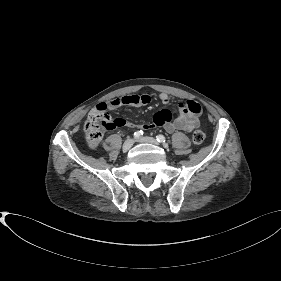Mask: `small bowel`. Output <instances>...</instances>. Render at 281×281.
Masks as SVG:
<instances>
[{"label":"small bowel","mask_w":281,"mask_h":281,"mask_svg":"<svg viewBox=\"0 0 281 281\" xmlns=\"http://www.w3.org/2000/svg\"><path fill=\"white\" fill-rule=\"evenodd\" d=\"M162 104L169 102V96L166 93H160L158 96ZM152 97L149 94H130L113 100L100 103L97 108L103 110H114L121 106L141 107L151 103ZM179 113L173 118L168 109H162L156 112L152 122L148 124L136 125L123 118H116V127H127L137 131H146L156 127H163L167 132L177 130L190 132L199 125L200 106L194 101L179 103Z\"/></svg>","instance_id":"small-bowel-1"}]
</instances>
